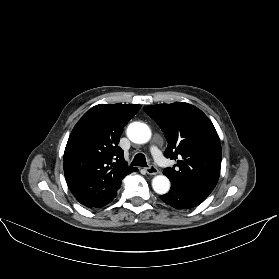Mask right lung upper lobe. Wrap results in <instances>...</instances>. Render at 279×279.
<instances>
[{"label": "right lung upper lobe", "mask_w": 279, "mask_h": 279, "mask_svg": "<svg viewBox=\"0 0 279 279\" xmlns=\"http://www.w3.org/2000/svg\"><path fill=\"white\" fill-rule=\"evenodd\" d=\"M141 105L100 104L73 128L64 152V174L77 201L97 207L112 200L122 179L136 167L127 165L118 146L124 126Z\"/></svg>", "instance_id": "cb5924a9"}]
</instances>
